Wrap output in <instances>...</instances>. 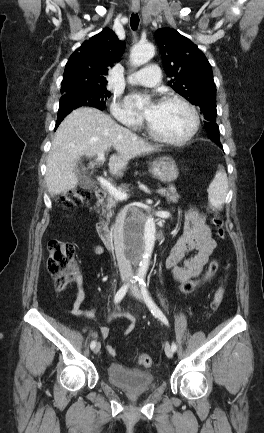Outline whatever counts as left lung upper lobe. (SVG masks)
Instances as JSON below:
<instances>
[{
	"label": "left lung upper lobe",
	"mask_w": 264,
	"mask_h": 433,
	"mask_svg": "<svg viewBox=\"0 0 264 433\" xmlns=\"http://www.w3.org/2000/svg\"><path fill=\"white\" fill-rule=\"evenodd\" d=\"M154 36L161 50L164 69L171 78L169 85L200 108L206 119L208 136L214 142L219 141V127L215 123L216 87L211 65L204 53L174 29H159Z\"/></svg>",
	"instance_id": "left-lung-upper-lobe-1"
}]
</instances>
